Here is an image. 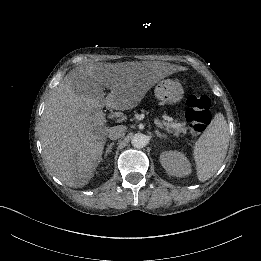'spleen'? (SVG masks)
I'll return each instance as SVG.
<instances>
[{
    "mask_svg": "<svg viewBox=\"0 0 261 261\" xmlns=\"http://www.w3.org/2000/svg\"><path fill=\"white\" fill-rule=\"evenodd\" d=\"M228 143V124L223 113L218 111L192 151L199 182L209 180L219 170L226 157Z\"/></svg>",
    "mask_w": 261,
    "mask_h": 261,
    "instance_id": "3e777b00",
    "label": "spleen"
}]
</instances>
